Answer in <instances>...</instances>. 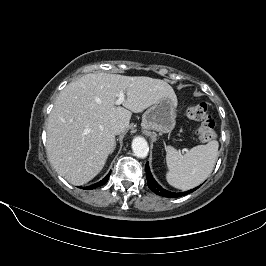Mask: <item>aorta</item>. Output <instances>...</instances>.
<instances>
[{"instance_id":"obj_1","label":"aorta","mask_w":266,"mask_h":266,"mask_svg":"<svg viewBox=\"0 0 266 266\" xmlns=\"http://www.w3.org/2000/svg\"><path fill=\"white\" fill-rule=\"evenodd\" d=\"M132 150L138 158H145L148 155L149 147L143 137H136L132 141Z\"/></svg>"}]
</instances>
